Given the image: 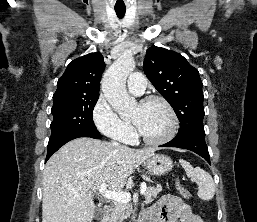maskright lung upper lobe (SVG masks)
Segmentation results:
<instances>
[{"label": "right lung upper lobe", "instance_id": "obj_1", "mask_svg": "<svg viewBox=\"0 0 257 222\" xmlns=\"http://www.w3.org/2000/svg\"><path fill=\"white\" fill-rule=\"evenodd\" d=\"M104 68V59L99 52L73 60L58 80L53 102L99 96Z\"/></svg>", "mask_w": 257, "mask_h": 222}]
</instances>
